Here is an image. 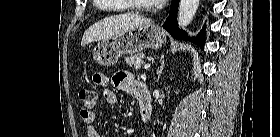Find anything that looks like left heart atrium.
<instances>
[{"instance_id":"39dd6f15","label":"left heart atrium","mask_w":280,"mask_h":137,"mask_svg":"<svg viewBox=\"0 0 280 137\" xmlns=\"http://www.w3.org/2000/svg\"><path fill=\"white\" fill-rule=\"evenodd\" d=\"M150 1L153 4H159V5L165 4L167 2V0H150Z\"/></svg>"}]
</instances>
